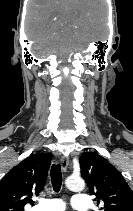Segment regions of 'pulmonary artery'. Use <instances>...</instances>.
<instances>
[{"mask_svg": "<svg viewBox=\"0 0 133 211\" xmlns=\"http://www.w3.org/2000/svg\"><path fill=\"white\" fill-rule=\"evenodd\" d=\"M71 205L78 211H87L90 207L89 197L85 194H75L72 196ZM65 204L61 199H40L39 203L30 211H64Z\"/></svg>", "mask_w": 133, "mask_h": 211, "instance_id": "obj_1", "label": "pulmonary artery"}]
</instances>
